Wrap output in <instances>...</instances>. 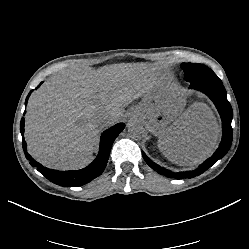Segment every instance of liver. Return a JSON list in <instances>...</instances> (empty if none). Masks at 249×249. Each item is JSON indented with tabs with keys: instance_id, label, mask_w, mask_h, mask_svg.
Instances as JSON below:
<instances>
[{
	"instance_id": "1",
	"label": "liver",
	"mask_w": 249,
	"mask_h": 249,
	"mask_svg": "<svg viewBox=\"0 0 249 249\" xmlns=\"http://www.w3.org/2000/svg\"><path fill=\"white\" fill-rule=\"evenodd\" d=\"M171 81L145 65H110L75 70L48 78L27 104L25 139L28 153L44 166L79 169L92 160L100 130L97 119L106 114L110 125L124 116L133 100L132 116L167 146L174 163L193 165L217 148L221 127L211 108L202 102L184 111L185 99L172 100ZM162 117V120H159ZM169 121L173 124L167 127Z\"/></svg>"
}]
</instances>
